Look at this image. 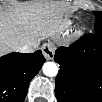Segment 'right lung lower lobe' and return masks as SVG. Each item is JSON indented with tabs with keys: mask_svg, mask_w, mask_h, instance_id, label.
Returning <instances> with one entry per match:
<instances>
[{
	"mask_svg": "<svg viewBox=\"0 0 102 102\" xmlns=\"http://www.w3.org/2000/svg\"><path fill=\"white\" fill-rule=\"evenodd\" d=\"M45 58L38 50L34 53H10L0 58L1 102H22L30 81L39 72Z\"/></svg>",
	"mask_w": 102,
	"mask_h": 102,
	"instance_id": "right-lung-lower-lobe-1",
	"label": "right lung lower lobe"
}]
</instances>
